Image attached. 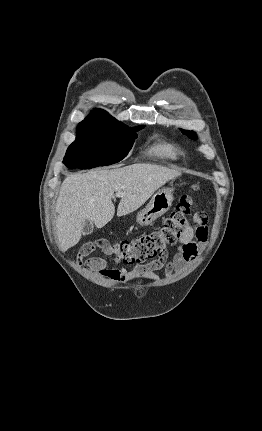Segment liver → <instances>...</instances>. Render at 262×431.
Masks as SVG:
<instances>
[{
  "label": "liver",
  "instance_id": "1",
  "mask_svg": "<svg viewBox=\"0 0 262 431\" xmlns=\"http://www.w3.org/2000/svg\"><path fill=\"white\" fill-rule=\"evenodd\" d=\"M180 175V171L164 166L136 163L68 176L56 203L60 249L65 252L80 241L85 220L102 228L113 218L115 192H124L117 208V216L121 217L140 208L156 190Z\"/></svg>",
  "mask_w": 262,
  "mask_h": 431
}]
</instances>
